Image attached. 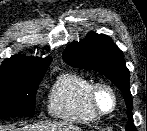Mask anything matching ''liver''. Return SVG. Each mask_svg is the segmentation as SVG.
<instances>
[{
  "label": "liver",
  "instance_id": "1",
  "mask_svg": "<svg viewBox=\"0 0 147 131\" xmlns=\"http://www.w3.org/2000/svg\"><path fill=\"white\" fill-rule=\"evenodd\" d=\"M16 131H81V129L67 122H40L29 124Z\"/></svg>",
  "mask_w": 147,
  "mask_h": 131
}]
</instances>
